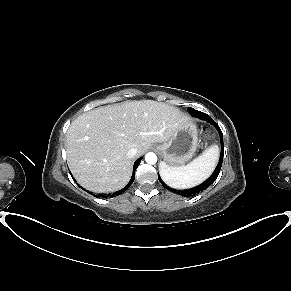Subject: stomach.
Returning <instances> with one entry per match:
<instances>
[{
    "label": "stomach",
    "mask_w": 291,
    "mask_h": 291,
    "mask_svg": "<svg viewBox=\"0 0 291 291\" xmlns=\"http://www.w3.org/2000/svg\"><path fill=\"white\" fill-rule=\"evenodd\" d=\"M197 134L196 125L190 120L176 130L168 141L158 145L164 163L177 167L188 162L197 148Z\"/></svg>",
    "instance_id": "0dacf381"
}]
</instances>
